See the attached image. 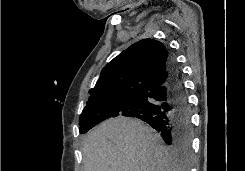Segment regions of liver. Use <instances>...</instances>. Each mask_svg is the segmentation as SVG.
Wrapping results in <instances>:
<instances>
[{
	"mask_svg": "<svg viewBox=\"0 0 245 171\" xmlns=\"http://www.w3.org/2000/svg\"><path fill=\"white\" fill-rule=\"evenodd\" d=\"M82 154L84 171H179L153 129L122 116L91 130Z\"/></svg>",
	"mask_w": 245,
	"mask_h": 171,
	"instance_id": "liver-1",
	"label": "liver"
}]
</instances>
